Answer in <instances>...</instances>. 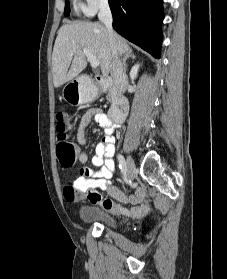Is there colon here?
Returning <instances> with one entry per match:
<instances>
[{
    "instance_id": "colon-1",
    "label": "colon",
    "mask_w": 227,
    "mask_h": 279,
    "mask_svg": "<svg viewBox=\"0 0 227 279\" xmlns=\"http://www.w3.org/2000/svg\"><path fill=\"white\" fill-rule=\"evenodd\" d=\"M69 115L64 108L56 114L55 132L57 136L56 154L63 167L72 166L78 156V148L68 140L67 126ZM98 193L91 194L89 198H99Z\"/></svg>"
}]
</instances>
